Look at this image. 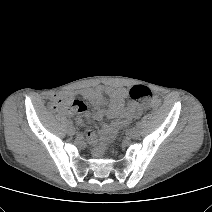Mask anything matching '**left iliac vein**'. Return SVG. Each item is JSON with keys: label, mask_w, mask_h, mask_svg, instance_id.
Returning <instances> with one entry per match:
<instances>
[{"label": "left iliac vein", "mask_w": 212, "mask_h": 212, "mask_svg": "<svg viewBox=\"0 0 212 212\" xmlns=\"http://www.w3.org/2000/svg\"><path fill=\"white\" fill-rule=\"evenodd\" d=\"M130 136H131V138H133V139H138L139 136H140V131H139V129L133 128V129L131 130V132H130Z\"/></svg>", "instance_id": "left-iliac-vein-1"}]
</instances>
